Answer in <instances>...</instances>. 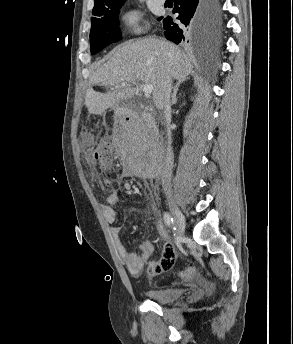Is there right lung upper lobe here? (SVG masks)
<instances>
[{"label": "right lung upper lobe", "mask_w": 293, "mask_h": 344, "mask_svg": "<svg viewBox=\"0 0 293 344\" xmlns=\"http://www.w3.org/2000/svg\"><path fill=\"white\" fill-rule=\"evenodd\" d=\"M118 1H122V0H94L95 5H94L93 10L100 7L108 6Z\"/></svg>", "instance_id": "cb5924a9"}]
</instances>
